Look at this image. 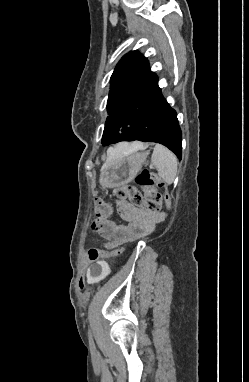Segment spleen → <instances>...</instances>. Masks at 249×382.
<instances>
[{"label":"spleen","mask_w":249,"mask_h":382,"mask_svg":"<svg viewBox=\"0 0 249 382\" xmlns=\"http://www.w3.org/2000/svg\"><path fill=\"white\" fill-rule=\"evenodd\" d=\"M159 176L167 184H172L177 174V158L165 146L156 144L151 157Z\"/></svg>","instance_id":"spleen-1"}]
</instances>
